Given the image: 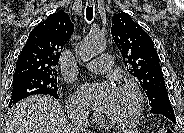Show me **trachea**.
<instances>
[{"label":"trachea","instance_id":"1","mask_svg":"<svg viewBox=\"0 0 184 133\" xmlns=\"http://www.w3.org/2000/svg\"><path fill=\"white\" fill-rule=\"evenodd\" d=\"M86 19L91 21L93 19V6H87L86 8Z\"/></svg>","mask_w":184,"mask_h":133}]
</instances>
